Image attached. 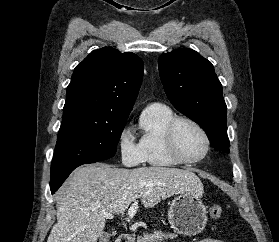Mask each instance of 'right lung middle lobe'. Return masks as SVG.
Returning a JSON list of instances; mask_svg holds the SVG:
<instances>
[{"label": "right lung middle lobe", "instance_id": "right-lung-middle-lobe-1", "mask_svg": "<svg viewBox=\"0 0 279 242\" xmlns=\"http://www.w3.org/2000/svg\"><path fill=\"white\" fill-rule=\"evenodd\" d=\"M125 118H104L71 112L63 115L51 165L54 182L75 167L115 155Z\"/></svg>", "mask_w": 279, "mask_h": 242}]
</instances>
